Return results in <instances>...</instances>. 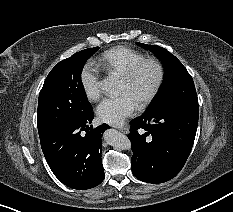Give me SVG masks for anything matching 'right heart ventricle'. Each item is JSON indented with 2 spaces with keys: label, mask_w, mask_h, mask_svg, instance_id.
<instances>
[{
  "label": "right heart ventricle",
  "mask_w": 233,
  "mask_h": 212,
  "mask_svg": "<svg viewBox=\"0 0 233 212\" xmlns=\"http://www.w3.org/2000/svg\"><path fill=\"white\" fill-rule=\"evenodd\" d=\"M145 58L137 50L125 46H117L105 51L97 60L99 68L108 73L122 76L133 64Z\"/></svg>",
  "instance_id": "obj_1"
}]
</instances>
